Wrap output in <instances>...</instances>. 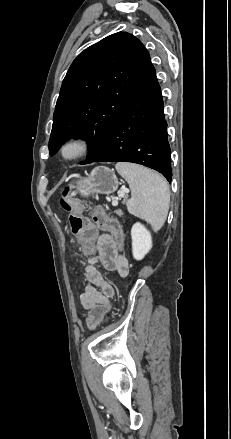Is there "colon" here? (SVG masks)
<instances>
[{"mask_svg":"<svg viewBox=\"0 0 231 439\" xmlns=\"http://www.w3.org/2000/svg\"><path fill=\"white\" fill-rule=\"evenodd\" d=\"M60 204L63 209L69 212L68 222L73 235L82 244L84 251L82 260L84 262H91L94 258V251L89 250L92 247V242L95 235V227L110 230L119 245L123 247V234L119 224L108 217L99 207H91L89 209V217L87 218L81 214L80 203L70 196V189L66 188L60 199ZM110 300H105L104 303H95L88 307L87 326L94 328L97 323H102L110 314Z\"/></svg>","mask_w":231,"mask_h":439,"instance_id":"colon-1","label":"colon"}]
</instances>
